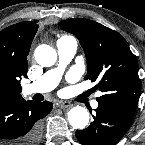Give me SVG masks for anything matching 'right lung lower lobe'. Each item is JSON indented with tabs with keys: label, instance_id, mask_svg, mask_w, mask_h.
I'll use <instances>...</instances> for the list:
<instances>
[{
	"label": "right lung lower lobe",
	"instance_id": "obj_1",
	"mask_svg": "<svg viewBox=\"0 0 145 145\" xmlns=\"http://www.w3.org/2000/svg\"><path fill=\"white\" fill-rule=\"evenodd\" d=\"M52 108L48 101H25L22 97L0 100V142L37 145L41 137V119Z\"/></svg>",
	"mask_w": 145,
	"mask_h": 145
}]
</instances>
